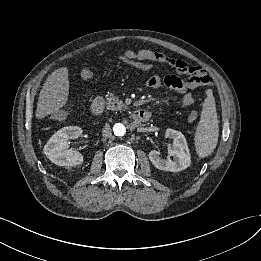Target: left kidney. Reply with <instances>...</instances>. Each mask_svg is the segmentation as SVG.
I'll use <instances>...</instances> for the list:
<instances>
[{
	"label": "left kidney",
	"mask_w": 261,
	"mask_h": 261,
	"mask_svg": "<svg viewBox=\"0 0 261 261\" xmlns=\"http://www.w3.org/2000/svg\"><path fill=\"white\" fill-rule=\"evenodd\" d=\"M166 138L173 139V145L168 149L167 159H162L156 150L150 151L149 159L159 170L178 172L190 166L191 157L185 136L174 129H167ZM173 157L171 159L170 157Z\"/></svg>",
	"instance_id": "5707ae66"
}]
</instances>
